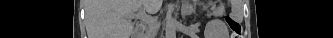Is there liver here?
Listing matches in <instances>:
<instances>
[{
    "instance_id": "obj_1",
    "label": "liver",
    "mask_w": 333,
    "mask_h": 38,
    "mask_svg": "<svg viewBox=\"0 0 333 38\" xmlns=\"http://www.w3.org/2000/svg\"><path fill=\"white\" fill-rule=\"evenodd\" d=\"M161 4L162 0H87L88 38H130L134 30L130 15L140 9L155 13Z\"/></svg>"
}]
</instances>
